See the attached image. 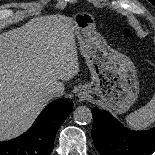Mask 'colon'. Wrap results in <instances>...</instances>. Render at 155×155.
Returning a JSON list of instances; mask_svg holds the SVG:
<instances>
[{
  "instance_id": "1",
  "label": "colon",
  "mask_w": 155,
  "mask_h": 155,
  "mask_svg": "<svg viewBox=\"0 0 155 155\" xmlns=\"http://www.w3.org/2000/svg\"><path fill=\"white\" fill-rule=\"evenodd\" d=\"M122 35L125 38L130 39V38H132L133 33L129 28H124L123 31H122ZM136 45H140V44L136 43Z\"/></svg>"
}]
</instances>
